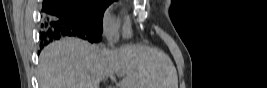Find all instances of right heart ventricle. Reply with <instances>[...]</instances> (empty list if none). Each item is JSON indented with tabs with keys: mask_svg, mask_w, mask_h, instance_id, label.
<instances>
[{
	"mask_svg": "<svg viewBox=\"0 0 267 88\" xmlns=\"http://www.w3.org/2000/svg\"><path fill=\"white\" fill-rule=\"evenodd\" d=\"M129 33H130V27L128 21H126L124 24V34L129 35Z\"/></svg>",
	"mask_w": 267,
	"mask_h": 88,
	"instance_id": "1",
	"label": "right heart ventricle"
}]
</instances>
